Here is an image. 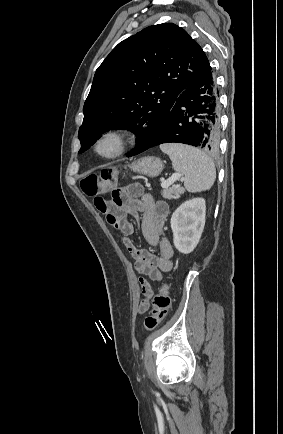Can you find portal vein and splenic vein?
Returning <instances> with one entry per match:
<instances>
[{
    "mask_svg": "<svg viewBox=\"0 0 283 434\" xmlns=\"http://www.w3.org/2000/svg\"><path fill=\"white\" fill-rule=\"evenodd\" d=\"M181 178V176L180 175H178V174H173L168 180H164V179H162L161 181H162V183H161V186L163 187V188H165V187H168L169 185H171L172 183H174L175 181H177L178 179H180Z\"/></svg>",
    "mask_w": 283,
    "mask_h": 434,
    "instance_id": "18ae733b",
    "label": "portal vein and splenic vein"
}]
</instances>
